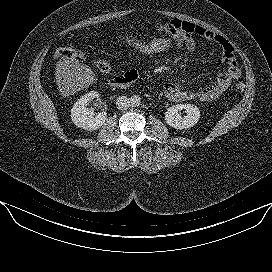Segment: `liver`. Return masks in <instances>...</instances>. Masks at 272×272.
Wrapping results in <instances>:
<instances>
[{"label":"liver","instance_id":"6515ba94","mask_svg":"<svg viewBox=\"0 0 272 272\" xmlns=\"http://www.w3.org/2000/svg\"><path fill=\"white\" fill-rule=\"evenodd\" d=\"M55 78L63 97L77 93L96 80L94 72L87 65L67 59L56 63Z\"/></svg>","mask_w":272,"mask_h":272}]
</instances>
